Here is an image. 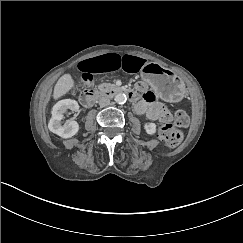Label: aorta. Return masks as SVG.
<instances>
[{"label": "aorta", "instance_id": "762f6f07", "mask_svg": "<svg viewBox=\"0 0 243 243\" xmlns=\"http://www.w3.org/2000/svg\"><path fill=\"white\" fill-rule=\"evenodd\" d=\"M114 101L118 104H124L126 102V95L124 93H118L115 95Z\"/></svg>", "mask_w": 243, "mask_h": 243}]
</instances>
